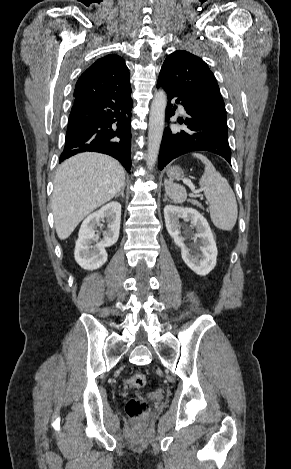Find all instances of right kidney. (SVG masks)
Here are the masks:
<instances>
[{
    "instance_id": "right-kidney-1",
    "label": "right kidney",
    "mask_w": 291,
    "mask_h": 469,
    "mask_svg": "<svg viewBox=\"0 0 291 469\" xmlns=\"http://www.w3.org/2000/svg\"><path fill=\"white\" fill-rule=\"evenodd\" d=\"M106 220L107 230L104 237L94 246L92 241L98 235L95 229L101 221ZM121 221V205L118 202H110L100 210L90 214L82 223L75 246V260L85 270L100 268L107 261L106 247L114 245L119 237Z\"/></svg>"
}]
</instances>
